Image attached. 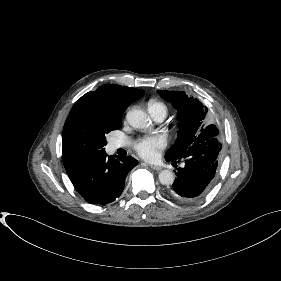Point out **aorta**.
Masks as SVG:
<instances>
[{"mask_svg": "<svg viewBox=\"0 0 281 281\" xmlns=\"http://www.w3.org/2000/svg\"><path fill=\"white\" fill-rule=\"evenodd\" d=\"M126 119L128 123L136 129H145L150 125L148 115L142 110L129 111L126 115ZM158 178L162 185H171L175 180L174 173L170 170H162Z\"/></svg>", "mask_w": 281, "mask_h": 281, "instance_id": "obj_1", "label": "aorta"}]
</instances>
